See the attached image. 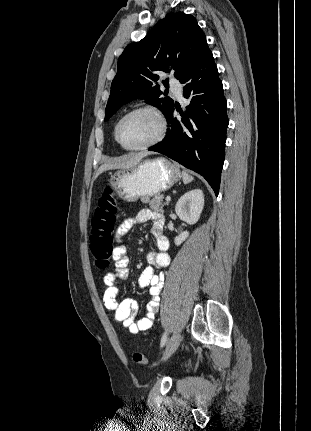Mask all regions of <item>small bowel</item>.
<instances>
[{
  "instance_id": "c3829d8e",
  "label": "small bowel",
  "mask_w": 311,
  "mask_h": 431,
  "mask_svg": "<svg viewBox=\"0 0 311 431\" xmlns=\"http://www.w3.org/2000/svg\"><path fill=\"white\" fill-rule=\"evenodd\" d=\"M151 221V234L156 241L157 251L150 252L147 256L148 266L139 277L138 284L144 288L149 286L151 296L147 304L146 316L136 319L138 304L130 298L119 299L120 286L118 280L128 277L127 248L122 237L127 234L134 225ZM164 218L161 213L150 209H142L136 215L126 218L116 231L117 245L113 251L115 270L108 272L104 277L106 290L104 292V305L114 315V320L121 323L131 334L150 331L156 321L160 308V293L163 288V275L156 271L167 267L170 263L168 254L169 240L164 235Z\"/></svg>"
}]
</instances>
